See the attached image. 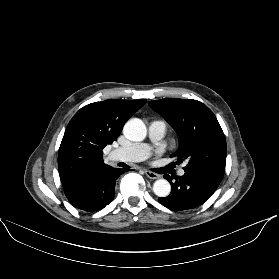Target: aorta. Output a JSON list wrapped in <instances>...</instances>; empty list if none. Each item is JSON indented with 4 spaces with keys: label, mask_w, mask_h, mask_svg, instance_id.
<instances>
[{
    "label": "aorta",
    "mask_w": 279,
    "mask_h": 279,
    "mask_svg": "<svg viewBox=\"0 0 279 279\" xmlns=\"http://www.w3.org/2000/svg\"><path fill=\"white\" fill-rule=\"evenodd\" d=\"M146 126L139 119L126 122L123 128L125 137L131 141H142L146 137ZM153 192L158 197H167L171 192V185L165 179L156 180L153 184Z\"/></svg>",
    "instance_id": "1"
}]
</instances>
